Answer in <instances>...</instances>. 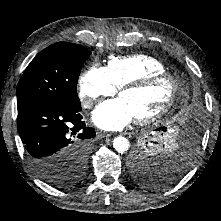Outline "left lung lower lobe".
I'll use <instances>...</instances> for the list:
<instances>
[{
	"label": "left lung lower lobe",
	"instance_id": "left-lung-lower-lobe-1",
	"mask_svg": "<svg viewBox=\"0 0 221 221\" xmlns=\"http://www.w3.org/2000/svg\"><path fill=\"white\" fill-rule=\"evenodd\" d=\"M158 130L166 131L165 127H160ZM202 134V125L199 117L194 115L186 122L185 129L179 134L177 139L178 145L177 150L174 151V154L168 159L176 160L180 164L179 168L171 174L169 182H173L176 179L180 178L187 169V163L193 159L196 148L198 146L200 137Z\"/></svg>",
	"mask_w": 221,
	"mask_h": 221
}]
</instances>
